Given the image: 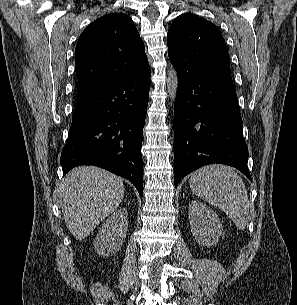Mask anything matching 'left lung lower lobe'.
I'll return each mask as SVG.
<instances>
[{"label":"left lung lower lobe","instance_id":"left-lung-lower-lobe-1","mask_svg":"<svg viewBox=\"0 0 297 305\" xmlns=\"http://www.w3.org/2000/svg\"><path fill=\"white\" fill-rule=\"evenodd\" d=\"M174 67L179 75L174 109L175 187L190 172L212 163L233 166L252 181L231 75L194 76Z\"/></svg>","mask_w":297,"mask_h":305}]
</instances>
